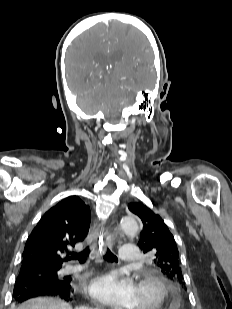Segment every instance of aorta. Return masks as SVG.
Wrapping results in <instances>:
<instances>
[{
	"label": "aorta",
	"instance_id": "aorta-1",
	"mask_svg": "<svg viewBox=\"0 0 232 309\" xmlns=\"http://www.w3.org/2000/svg\"><path fill=\"white\" fill-rule=\"evenodd\" d=\"M119 228L126 234H136L139 230V224L136 217L129 216L121 219Z\"/></svg>",
	"mask_w": 232,
	"mask_h": 309
}]
</instances>
